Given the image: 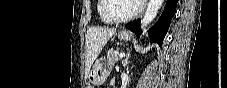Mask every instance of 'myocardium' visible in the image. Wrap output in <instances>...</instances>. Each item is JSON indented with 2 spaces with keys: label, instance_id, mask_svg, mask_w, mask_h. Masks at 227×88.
Instances as JSON below:
<instances>
[{
  "label": "myocardium",
  "instance_id": "1",
  "mask_svg": "<svg viewBox=\"0 0 227 88\" xmlns=\"http://www.w3.org/2000/svg\"><path fill=\"white\" fill-rule=\"evenodd\" d=\"M102 2H103V4H102V14H103V16L107 19V21L109 23H114V24L127 23V22L135 19L143 10V4L138 3L136 10L133 13H131L129 16L124 17V18H120V19H116V18H112L108 14L107 9H108L109 0H103Z\"/></svg>",
  "mask_w": 227,
  "mask_h": 88
}]
</instances>
